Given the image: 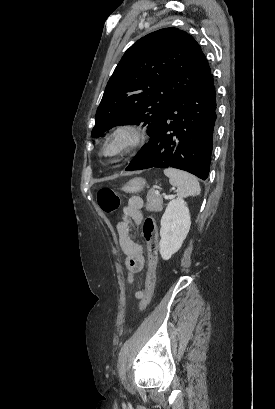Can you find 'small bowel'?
<instances>
[{"label":"small bowel","instance_id":"obj_1","mask_svg":"<svg viewBox=\"0 0 275 409\" xmlns=\"http://www.w3.org/2000/svg\"><path fill=\"white\" fill-rule=\"evenodd\" d=\"M143 205L144 202L140 196L130 197L123 207L122 219L116 226L119 245L125 255L124 263L127 270V283L129 285H132L134 282V274L142 271L145 264L142 245L130 235L132 224L138 225L143 218L141 211ZM141 295L142 290L135 292L136 298H140Z\"/></svg>","mask_w":275,"mask_h":409}]
</instances>
